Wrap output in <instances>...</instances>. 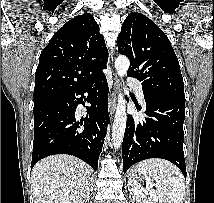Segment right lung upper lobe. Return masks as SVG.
Segmentation results:
<instances>
[{
    "instance_id": "obj_1",
    "label": "right lung upper lobe",
    "mask_w": 214,
    "mask_h": 203,
    "mask_svg": "<svg viewBox=\"0 0 214 203\" xmlns=\"http://www.w3.org/2000/svg\"><path fill=\"white\" fill-rule=\"evenodd\" d=\"M108 50L91 14L68 21L40 54L34 100L79 87L103 74Z\"/></svg>"
}]
</instances>
